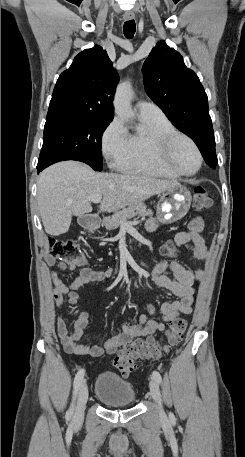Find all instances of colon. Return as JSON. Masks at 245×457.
Here are the masks:
<instances>
[{
  "label": "colon",
  "instance_id": "1",
  "mask_svg": "<svg viewBox=\"0 0 245 457\" xmlns=\"http://www.w3.org/2000/svg\"><path fill=\"white\" fill-rule=\"evenodd\" d=\"M213 200L208 191L198 186L194 190V203L197 209L203 210L211 206ZM50 255L56 259L84 263L83 252L80 246L73 240L49 238ZM175 251L172 243L165 244L161 252L163 255H171ZM188 322L184 318H175L170 322L162 339L148 337L145 340L137 339L125 344L116 354L113 364L118 372L127 377L137 368L139 359H157L172 347L176 346L186 332Z\"/></svg>",
  "mask_w": 245,
  "mask_h": 457
}]
</instances>
